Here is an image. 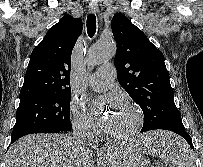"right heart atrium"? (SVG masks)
I'll list each match as a JSON object with an SVG mask.
<instances>
[{"mask_svg":"<svg viewBox=\"0 0 203 167\" xmlns=\"http://www.w3.org/2000/svg\"><path fill=\"white\" fill-rule=\"evenodd\" d=\"M70 110L74 128L80 131H91L95 128L93 118L86 111L82 102L76 99L72 100Z\"/></svg>","mask_w":203,"mask_h":167,"instance_id":"obj_1","label":"right heart atrium"}]
</instances>
